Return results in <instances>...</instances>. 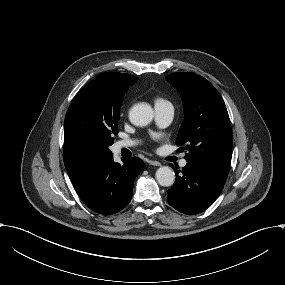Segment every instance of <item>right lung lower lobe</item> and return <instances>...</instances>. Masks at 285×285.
Returning <instances> with one entry per match:
<instances>
[{
  "label": "right lung lower lobe",
  "mask_w": 285,
  "mask_h": 285,
  "mask_svg": "<svg viewBox=\"0 0 285 285\" xmlns=\"http://www.w3.org/2000/svg\"><path fill=\"white\" fill-rule=\"evenodd\" d=\"M123 165L113 156L74 185L81 200L92 211L111 215L125 208L131 200L133 183L144 163L137 157L123 158Z\"/></svg>",
  "instance_id": "98d812e1"
}]
</instances>
